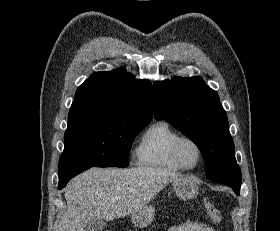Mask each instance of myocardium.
I'll return each mask as SVG.
<instances>
[{"label":"myocardium","mask_w":280,"mask_h":231,"mask_svg":"<svg viewBox=\"0 0 280 231\" xmlns=\"http://www.w3.org/2000/svg\"><path fill=\"white\" fill-rule=\"evenodd\" d=\"M185 141H190V142L194 143L200 154L199 163L194 169H189V168L185 167L184 164L182 163L180 155H179L180 146ZM171 153H172L173 159L178 164V166L181 168V170L186 171V172H195V171L199 170L205 161V153H204L203 146L201 145V143L198 140H196L195 138H193L191 136L180 135L176 139L175 143L173 144Z\"/></svg>","instance_id":"1"}]
</instances>
